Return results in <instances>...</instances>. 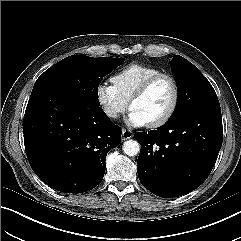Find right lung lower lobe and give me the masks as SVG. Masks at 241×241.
I'll return each mask as SVG.
<instances>
[{
	"label": "right lung lower lobe",
	"mask_w": 241,
	"mask_h": 241,
	"mask_svg": "<svg viewBox=\"0 0 241 241\" xmlns=\"http://www.w3.org/2000/svg\"><path fill=\"white\" fill-rule=\"evenodd\" d=\"M23 134L35 174L64 193L96 187L105 173L107 153L121 140V128L100 107L60 93L30 98Z\"/></svg>",
	"instance_id": "right-lung-lower-lobe-1"
}]
</instances>
